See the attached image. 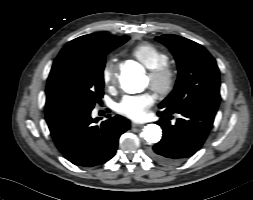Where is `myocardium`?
Returning <instances> with one entry per match:
<instances>
[{
  "instance_id": "obj_1",
  "label": "myocardium",
  "mask_w": 253,
  "mask_h": 200,
  "mask_svg": "<svg viewBox=\"0 0 253 200\" xmlns=\"http://www.w3.org/2000/svg\"><path fill=\"white\" fill-rule=\"evenodd\" d=\"M150 86L159 96L170 94L176 84L177 72L170 64L161 65L149 70Z\"/></svg>"
}]
</instances>
